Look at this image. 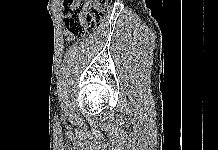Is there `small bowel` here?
<instances>
[{"mask_svg":"<svg viewBox=\"0 0 218 150\" xmlns=\"http://www.w3.org/2000/svg\"><path fill=\"white\" fill-rule=\"evenodd\" d=\"M65 36H67V38H69V34L68 32L65 31Z\"/></svg>","mask_w":218,"mask_h":150,"instance_id":"1","label":"small bowel"}]
</instances>
